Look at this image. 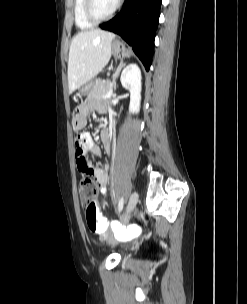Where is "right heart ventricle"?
<instances>
[{
	"label": "right heart ventricle",
	"instance_id": "obj_1",
	"mask_svg": "<svg viewBox=\"0 0 247 304\" xmlns=\"http://www.w3.org/2000/svg\"><path fill=\"white\" fill-rule=\"evenodd\" d=\"M84 4L85 0H75L74 2V19L77 27L80 29H89L93 27L94 24L89 22L84 14Z\"/></svg>",
	"mask_w": 247,
	"mask_h": 304
}]
</instances>
